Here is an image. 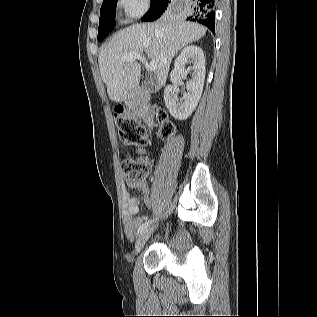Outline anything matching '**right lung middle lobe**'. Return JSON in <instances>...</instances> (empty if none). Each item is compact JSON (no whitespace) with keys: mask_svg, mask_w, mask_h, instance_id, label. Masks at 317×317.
I'll return each instance as SVG.
<instances>
[{"mask_svg":"<svg viewBox=\"0 0 317 317\" xmlns=\"http://www.w3.org/2000/svg\"><path fill=\"white\" fill-rule=\"evenodd\" d=\"M160 1L161 0H151L150 10ZM171 2L173 3L174 1L171 0ZM116 3H117V0H103V4L100 9L98 41L104 39L109 34V32L113 29V26L115 24L114 19H115Z\"/></svg>","mask_w":317,"mask_h":317,"instance_id":"right-lung-middle-lobe-1","label":"right lung middle lobe"}]
</instances>
